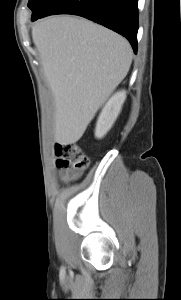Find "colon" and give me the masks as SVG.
<instances>
[{"mask_svg":"<svg viewBox=\"0 0 181 300\" xmlns=\"http://www.w3.org/2000/svg\"><path fill=\"white\" fill-rule=\"evenodd\" d=\"M56 165L72 175H78L88 167V157L75 143H59L55 146Z\"/></svg>","mask_w":181,"mask_h":300,"instance_id":"5ec220e1","label":"colon"}]
</instances>
